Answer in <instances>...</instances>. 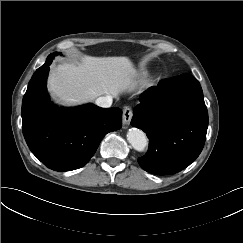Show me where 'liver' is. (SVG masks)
Masks as SVG:
<instances>
[{
    "label": "liver",
    "instance_id": "1",
    "mask_svg": "<svg viewBox=\"0 0 243 243\" xmlns=\"http://www.w3.org/2000/svg\"><path fill=\"white\" fill-rule=\"evenodd\" d=\"M136 75L127 57L82 56L80 62L54 68L48 78V90L58 103L75 106L102 95L117 98L135 87Z\"/></svg>",
    "mask_w": 243,
    "mask_h": 243
}]
</instances>
